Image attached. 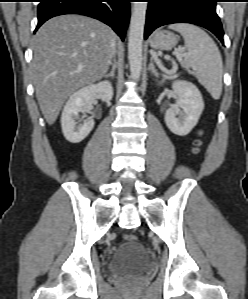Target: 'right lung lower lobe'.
<instances>
[{
    "instance_id": "obj_1",
    "label": "right lung lower lobe",
    "mask_w": 248,
    "mask_h": 299,
    "mask_svg": "<svg viewBox=\"0 0 248 299\" xmlns=\"http://www.w3.org/2000/svg\"><path fill=\"white\" fill-rule=\"evenodd\" d=\"M130 0H40L38 25L63 14H81L98 19L112 27L124 40L130 17Z\"/></svg>"
}]
</instances>
